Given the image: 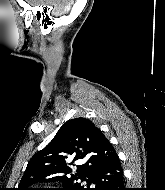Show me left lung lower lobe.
<instances>
[{"instance_id": "1", "label": "left lung lower lobe", "mask_w": 165, "mask_h": 190, "mask_svg": "<svg viewBox=\"0 0 165 190\" xmlns=\"http://www.w3.org/2000/svg\"><path fill=\"white\" fill-rule=\"evenodd\" d=\"M91 182L96 186L88 190H127L117 154L97 170Z\"/></svg>"}]
</instances>
